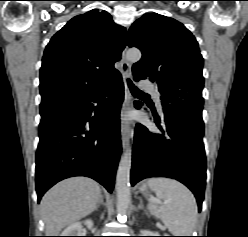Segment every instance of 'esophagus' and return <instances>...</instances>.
<instances>
[{
    "mask_svg": "<svg viewBox=\"0 0 248 237\" xmlns=\"http://www.w3.org/2000/svg\"><path fill=\"white\" fill-rule=\"evenodd\" d=\"M126 51H127V48L123 50L122 55H121V72L125 80V96H124V101L122 105V113L126 109H128L131 104V94L127 86V83H126V79L129 78L131 75V65L126 58ZM131 135H132V130H131L130 123L126 120H123L121 124V139H122V146L124 149L128 148Z\"/></svg>",
    "mask_w": 248,
    "mask_h": 237,
    "instance_id": "obj_1",
    "label": "esophagus"
}]
</instances>
